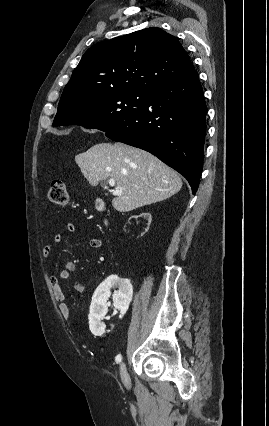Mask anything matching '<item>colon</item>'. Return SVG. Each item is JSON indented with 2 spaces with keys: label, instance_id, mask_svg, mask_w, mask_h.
<instances>
[{
  "label": "colon",
  "instance_id": "colon-1",
  "mask_svg": "<svg viewBox=\"0 0 269 426\" xmlns=\"http://www.w3.org/2000/svg\"><path fill=\"white\" fill-rule=\"evenodd\" d=\"M49 200L51 203L64 207L68 202L66 185L63 181L52 182L49 189Z\"/></svg>",
  "mask_w": 269,
  "mask_h": 426
}]
</instances>
